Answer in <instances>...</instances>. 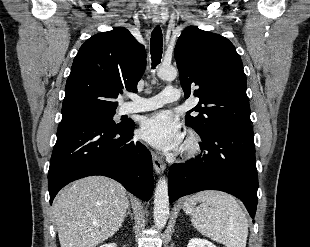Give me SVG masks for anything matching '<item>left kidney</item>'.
<instances>
[{"mask_svg":"<svg viewBox=\"0 0 310 247\" xmlns=\"http://www.w3.org/2000/svg\"><path fill=\"white\" fill-rule=\"evenodd\" d=\"M187 247H216L212 242L204 239L193 238Z\"/></svg>","mask_w":310,"mask_h":247,"instance_id":"obj_1","label":"left kidney"}]
</instances>
